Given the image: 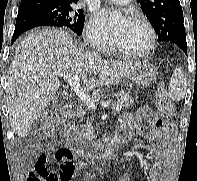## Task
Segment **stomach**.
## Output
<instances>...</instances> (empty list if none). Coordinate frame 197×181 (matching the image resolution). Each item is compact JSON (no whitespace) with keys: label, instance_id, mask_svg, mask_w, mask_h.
<instances>
[{"label":"stomach","instance_id":"stomach-1","mask_svg":"<svg viewBox=\"0 0 197 181\" xmlns=\"http://www.w3.org/2000/svg\"><path fill=\"white\" fill-rule=\"evenodd\" d=\"M139 63L140 65L132 75V81L138 88H146L155 81L158 70L150 63Z\"/></svg>","mask_w":197,"mask_h":181}]
</instances>
